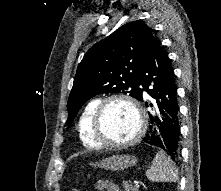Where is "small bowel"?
Instances as JSON below:
<instances>
[{"instance_id": "c3829d8e", "label": "small bowel", "mask_w": 221, "mask_h": 191, "mask_svg": "<svg viewBox=\"0 0 221 191\" xmlns=\"http://www.w3.org/2000/svg\"><path fill=\"white\" fill-rule=\"evenodd\" d=\"M94 188L96 191H121V189L114 183L106 180H99L95 183Z\"/></svg>"}]
</instances>
